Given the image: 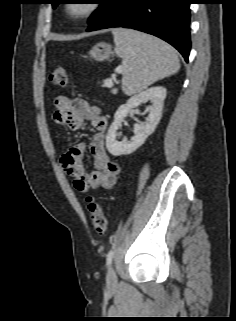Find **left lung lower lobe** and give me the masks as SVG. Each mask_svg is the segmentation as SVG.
<instances>
[{
	"label": "left lung lower lobe",
	"instance_id": "obj_1",
	"mask_svg": "<svg viewBox=\"0 0 236 321\" xmlns=\"http://www.w3.org/2000/svg\"><path fill=\"white\" fill-rule=\"evenodd\" d=\"M194 0H112L87 31L124 27L157 36L174 46L188 62L191 48L190 4Z\"/></svg>",
	"mask_w": 236,
	"mask_h": 321
}]
</instances>
